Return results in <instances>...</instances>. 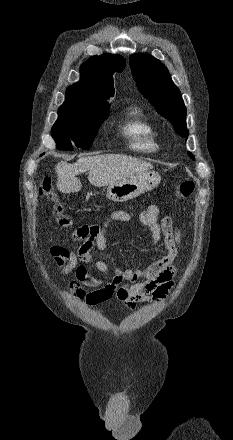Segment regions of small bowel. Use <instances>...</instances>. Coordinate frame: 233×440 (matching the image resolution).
<instances>
[{
	"label": "small bowel",
	"mask_w": 233,
	"mask_h": 440,
	"mask_svg": "<svg viewBox=\"0 0 233 440\" xmlns=\"http://www.w3.org/2000/svg\"><path fill=\"white\" fill-rule=\"evenodd\" d=\"M132 218V214L127 211H114L102 224L82 225L74 231L72 241H83L77 250L58 242L50 248L59 265L63 259L66 262L61 270L62 274L72 271L75 273L68 288L76 301L86 306H96L115 299L133 310L141 302H162L172 290L178 274L174 261L180 250L181 236L170 217H160L156 205H150L141 212L139 220L151 232L149 246H155L163 240L167 249L165 256L144 269H116L112 279L107 283L90 274L85 265L79 264L80 259L92 265L98 272L108 275L111 272L109 265L97 259L93 251L106 250V232L112 222H129ZM85 287L92 290L88 291Z\"/></svg>",
	"instance_id": "1"
}]
</instances>
